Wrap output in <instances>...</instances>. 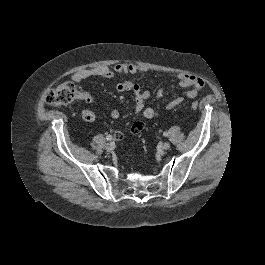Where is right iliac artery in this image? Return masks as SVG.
Wrapping results in <instances>:
<instances>
[{"label": "right iliac artery", "instance_id": "82829eb1", "mask_svg": "<svg viewBox=\"0 0 265 265\" xmlns=\"http://www.w3.org/2000/svg\"><path fill=\"white\" fill-rule=\"evenodd\" d=\"M106 140H107V141H111V140H112V136H111V135H107V136H106Z\"/></svg>", "mask_w": 265, "mask_h": 265}]
</instances>
